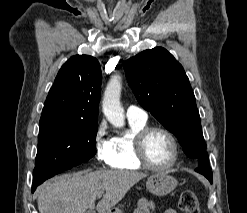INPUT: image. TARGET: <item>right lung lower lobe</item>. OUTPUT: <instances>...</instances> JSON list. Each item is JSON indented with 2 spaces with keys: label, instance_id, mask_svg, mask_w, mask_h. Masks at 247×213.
<instances>
[{
  "label": "right lung lower lobe",
  "instance_id": "obj_1",
  "mask_svg": "<svg viewBox=\"0 0 247 213\" xmlns=\"http://www.w3.org/2000/svg\"><path fill=\"white\" fill-rule=\"evenodd\" d=\"M37 186H38V184H32V192H34V190L36 189Z\"/></svg>",
  "mask_w": 247,
  "mask_h": 213
}]
</instances>
